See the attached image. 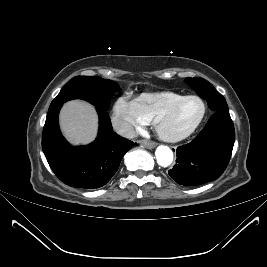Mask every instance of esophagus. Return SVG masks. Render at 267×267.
<instances>
[{"instance_id": "34e87169", "label": "esophagus", "mask_w": 267, "mask_h": 267, "mask_svg": "<svg viewBox=\"0 0 267 267\" xmlns=\"http://www.w3.org/2000/svg\"><path fill=\"white\" fill-rule=\"evenodd\" d=\"M139 143L149 149H152L156 146L155 142H150V141H146V140H140Z\"/></svg>"}]
</instances>
